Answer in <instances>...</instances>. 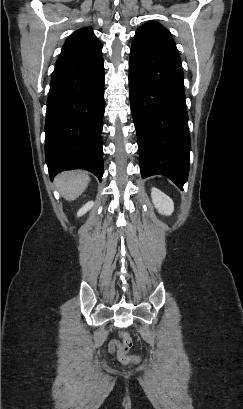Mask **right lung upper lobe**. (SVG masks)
I'll return each mask as SVG.
<instances>
[{"instance_id": "cb5924a9", "label": "right lung upper lobe", "mask_w": 243, "mask_h": 409, "mask_svg": "<svg viewBox=\"0 0 243 409\" xmlns=\"http://www.w3.org/2000/svg\"><path fill=\"white\" fill-rule=\"evenodd\" d=\"M100 46L91 28L79 29L66 40L56 64L88 54Z\"/></svg>"}]
</instances>
